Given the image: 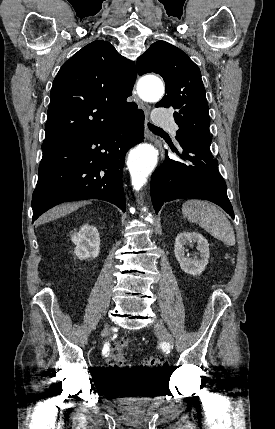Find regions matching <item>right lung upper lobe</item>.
<instances>
[{"label": "right lung upper lobe", "instance_id": "1", "mask_svg": "<svg viewBox=\"0 0 275 429\" xmlns=\"http://www.w3.org/2000/svg\"><path fill=\"white\" fill-rule=\"evenodd\" d=\"M107 41L96 40L60 68L50 92L42 150L125 120L137 110L128 103L137 72Z\"/></svg>", "mask_w": 275, "mask_h": 429}]
</instances>
